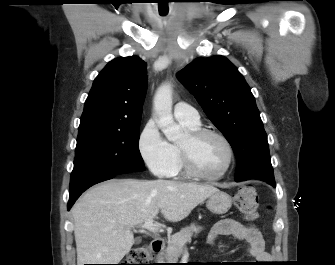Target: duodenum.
I'll list each match as a JSON object with an SVG mask.
<instances>
[{"label":"duodenum","instance_id":"duodenum-1","mask_svg":"<svg viewBox=\"0 0 335 265\" xmlns=\"http://www.w3.org/2000/svg\"><path fill=\"white\" fill-rule=\"evenodd\" d=\"M165 246V240L162 237H157L152 240L150 247L154 255H158Z\"/></svg>","mask_w":335,"mask_h":265}]
</instances>
